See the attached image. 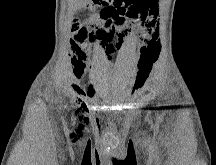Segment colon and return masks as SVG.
I'll use <instances>...</instances> for the list:
<instances>
[{"instance_id":"1","label":"colon","mask_w":216,"mask_h":165,"mask_svg":"<svg viewBox=\"0 0 216 165\" xmlns=\"http://www.w3.org/2000/svg\"><path fill=\"white\" fill-rule=\"evenodd\" d=\"M133 0H90V3L93 6H102L103 8H118V9H124L126 8ZM73 31L75 32L74 42L78 46L79 44L83 43L87 39L91 38V34H89L84 28H81L75 24L73 26ZM101 45H105L104 40L101 39ZM87 50L84 49H76L75 48V56L78 60H81L86 58ZM157 55V48L153 47L147 50L145 54L142 56L141 59V67L143 69L142 76L145 77L146 73L150 69L152 65V61L155 59Z\"/></svg>"}]
</instances>
